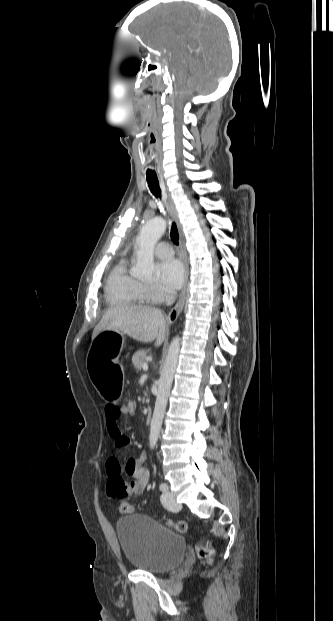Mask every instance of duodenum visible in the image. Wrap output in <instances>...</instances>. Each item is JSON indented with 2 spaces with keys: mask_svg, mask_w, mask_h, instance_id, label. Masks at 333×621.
<instances>
[{
  "mask_svg": "<svg viewBox=\"0 0 333 621\" xmlns=\"http://www.w3.org/2000/svg\"><path fill=\"white\" fill-rule=\"evenodd\" d=\"M152 420V410L149 408L147 409V413H146V422L149 423Z\"/></svg>",
  "mask_w": 333,
  "mask_h": 621,
  "instance_id": "duodenum-1",
  "label": "duodenum"
}]
</instances>
